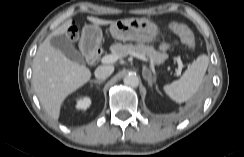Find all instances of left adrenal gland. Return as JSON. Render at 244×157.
<instances>
[{
  "instance_id": "1",
  "label": "left adrenal gland",
  "mask_w": 244,
  "mask_h": 157,
  "mask_svg": "<svg viewBox=\"0 0 244 157\" xmlns=\"http://www.w3.org/2000/svg\"><path fill=\"white\" fill-rule=\"evenodd\" d=\"M142 74H143V78L148 81L150 87H152V85L156 83V76L152 77L151 71L145 66L143 67Z\"/></svg>"
}]
</instances>
